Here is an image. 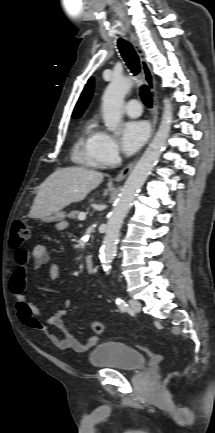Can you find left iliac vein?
Returning a JSON list of instances; mask_svg holds the SVG:
<instances>
[{
    "instance_id": "left-iliac-vein-1",
    "label": "left iliac vein",
    "mask_w": 215,
    "mask_h": 433,
    "mask_svg": "<svg viewBox=\"0 0 215 433\" xmlns=\"http://www.w3.org/2000/svg\"><path fill=\"white\" fill-rule=\"evenodd\" d=\"M129 304L135 313H139L141 311V304L139 301L131 299L129 300Z\"/></svg>"
}]
</instances>
